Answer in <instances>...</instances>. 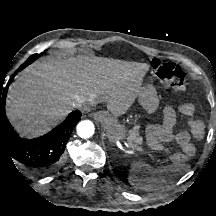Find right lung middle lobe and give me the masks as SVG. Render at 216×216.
Masks as SVG:
<instances>
[{"instance_id":"right-lung-middle-lobe-1","label":"right lung middle lobe","mask_w":216,"mask_h":216,"mask_svg":"<svg viewBox=\"0 0 216 216\" xmlns=\"http://www.w3.org/2000/svg\"><path fill=\"white\" fill-rule=\"evenodd\" d=\"M36 58V54L30 56L27 61L25 63H23L20 68L17 71L22 70L23 68H25L26 66H28L30 63H32Z\"/></svg>"}]
</instances>
